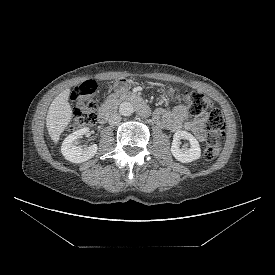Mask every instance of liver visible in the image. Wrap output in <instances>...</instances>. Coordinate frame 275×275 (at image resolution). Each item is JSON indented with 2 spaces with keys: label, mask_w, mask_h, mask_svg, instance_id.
<instances>
[{
  "label": "liver",
  "mask_w": 275,
  "mask_h": 275,
  "mask_svg": "<svg viewBox=\"0 0 275 275\" xmlns=\"http://www.w3.org/2000/svg\"><path fill=\"white\" fill-rule=\"evenodd\" d=\"M70 95V89L63 90L56 98L52 101L47 117L46 126L48 133L53 140L57 143L60 139L61 133L65 130L67 125L71 122L73 112L70 104L68 103Z\"/></svg>",
  "instance_id": "obj_1"
}]
</instances>
